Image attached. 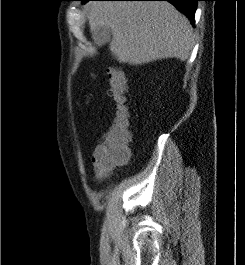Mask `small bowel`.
Wrapping results in <instances>:
<instances>
[{
	"instance_id": "obj_1",
	"label": "small bowel",
	"mask_w": 245,
	"mask_h": 265,
	"mask_svg": "<svg viewBox=\"0 0 245 265\" xmlns=\"http://www.w3.org/2000/svg\"><path fill=\"white\" fill-rule=\"evenodd\" d=\"M92 161H93V165H94V168H95V170H96L97 175H98L99 177H104V176L108 173V171L103 170V169H100V168H98V167L96 166L95 161H94V154H93V159H92Z\"/></svg>"
}]
</instances>
